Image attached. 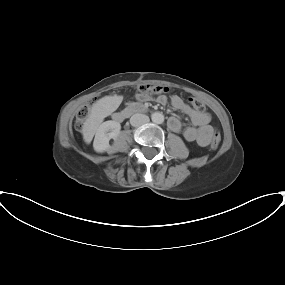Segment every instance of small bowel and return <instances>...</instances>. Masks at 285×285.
Returning <instances> with one entry per match:
<instances>
[{"mask_svg": "<svg viewBox=\"0 0 285 285\" xmlns=\"http://www.w3.org/2000/svg\"><path fill=\"white\" fill-rule=\"evenodd\" d=\"M137 101L144 102L151 99L150 96H143L138 94L136 96ZM157 101L161 104L166 102L165 96H159ZM172 106L183 112L189 117L192 122V126L183 129V136L188 142H196L200 146H208L211 143L212 127L209 125L211 117L206 112H201L193 109L187 103H185L179 96L171 97ZM168 127L173 132L182 131L181 121L176 117H171L168 121Z\"/></svg>", "mask_w": 285, "mask_h": 285, "instance_id": "c3829d8e", "label": "small bowel"}]
</instances>
